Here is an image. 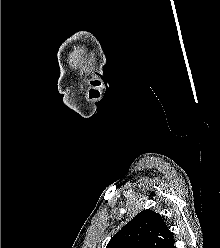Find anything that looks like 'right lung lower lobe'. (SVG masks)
Returning <instances> with one entry per match:
<instances>
[{"label":"right lung lower lobe","mask_w":220,"mask_h":248,"mask_svg":"<svg viewBox=\"0 0 220 248\" xmlns=\"http://www.w3.org/2000/svg\"><path fill=\"white\" fill-rule=\"evenodd\" d=\"M165 248H175L174 239H173V241L170 242Z\"/></svg>","instance_id":"98d812e1"}]
</instances>
